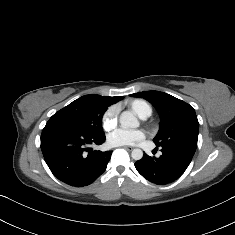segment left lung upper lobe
Listing matches in <instances>:
<instances>
[{"instance_id":"5c2ea615","label":"left lung upper lobe","mask_w":235,"mask_h":235,"mask_svg":"<svg viewBox=\"0 0 235 235\" xmlns=\"http://www.w3.org/2000/svg\"><path fill=\"white\" fill-rule=\"evenodd\" d=\"M131 96L144 98L157 109L161 119L154 138L157 147L177 145L196 151L199 122L191 105L160 91H144Z\"/></svg>"}]
</instances>
